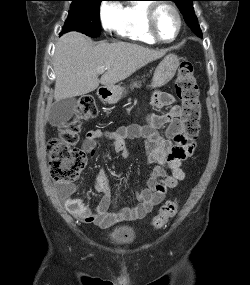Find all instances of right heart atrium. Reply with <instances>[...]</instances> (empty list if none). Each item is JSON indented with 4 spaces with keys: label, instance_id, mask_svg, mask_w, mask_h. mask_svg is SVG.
I'll use <instances>...</instances> for the list:
<instances>
[{
    "label": "right heart atrium",
    "instance_id": "1",
    "mask_svg": "<svg viewBox=\"0 0 250 285\" xmlns=\"http://www.w3.org/2000/svg\"><path fill=\"white\" fill-rule=\"evenodd\" d=\"M122 7L118 2H103L100 7V19L103 28L108 32L117 31Z\"/></svg>",
    "mask_w": 250,
    "mask_h": 285
}]
</instances>
